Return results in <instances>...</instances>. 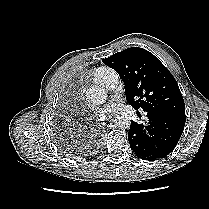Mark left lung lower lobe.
<instances>
[{
  "label": "left lung lower lobe",
  "instance_id": "0a47b994",
  "mask_svg": "<svg viewBox=\"0 0 209 209\" xmlns=\"http://www.w3.org/2000/svg\"><path fill=\"white\" fill-rule=\"evenodd\" d=\"M147 116V125L131 121L130 147L143 160H160L177 145L184 130L185 116L173 112H147Z\"/></svg>",
  "mask_w": 209,
  "mask_h": 209
}]
</instances>
